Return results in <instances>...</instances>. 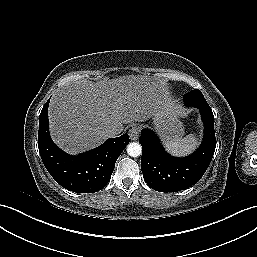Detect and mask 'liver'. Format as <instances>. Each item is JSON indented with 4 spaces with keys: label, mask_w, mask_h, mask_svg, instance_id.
<instances>
[{
    "label": "liver",
    "mask_w": 257,
    "mask_h": 257,
    "mask_svg": "<svg viewBox=\"0 0 257 257\" xmlns=\"http://www.w3.org/2000/svg\"><path fill=\"white\" fill-rule=\"evenodd\" d=\"M165 110L176 114L162 84L140 75L80 81L57 90L50 101V135L57 146L76 155L101 145L106 132L143 122Z\"/></svg>",
    "instance_id": "6515ba94"
}]
</instances>
